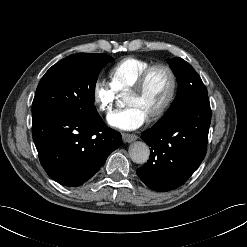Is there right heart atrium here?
Here are the masks:
<instances>
[{
  "instance_id": "1",
  "label": "right heart atrium",
  "mask_w": 247,
  "mask_h": 247,
  "mask_svg": "<svg viewBox=\"0 0 247 247\" xmlns=\"http://www.w3.org/2000/svg\"><path fill=\"white\" fill-rule=\"evenodd\" d=\"M93 103L102 114H109L117 98L114 88L102 80H97L92 90Z\"/></svg>"
}]
</instances>
